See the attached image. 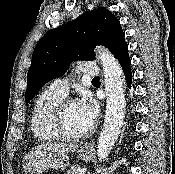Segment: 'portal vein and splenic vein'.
Segmentation results:
<instances>
[{
    "mask_svg": "<svg viewBox=\"0 0 175 174\" xmlns=\"http://www.w3.org/2000/svg\"><path fill=\"white\" fill-rule=\"evenodd\" d=\"M79 174H85L84 170H79Z\"/></svg>",
    "mask_w": 175,
    "mask_h": 174,
    "instance_id": "portal-vein-and-splenic-vein-1",
    "label": "portal vein and splenic vein"
}]
</instances>
